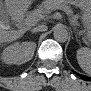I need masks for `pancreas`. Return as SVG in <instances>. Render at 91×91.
<instances>
[{"instance_id":"obj_1","label":"pancreas","mask_w":91,"mask_h":91,"mask_svg":"<svg viewBox=\"0 0 91 91\" xmlns=\"http://www.w3.org/2000/svg\"><path fill=\"white\" fill-rule=\"evenodd\" d=\"M64 9L68 14H70L69 7L62 1H44L38 9L33 12L36 18H42L50 13L52 10Z\"/></svg>"}]
</instances>
